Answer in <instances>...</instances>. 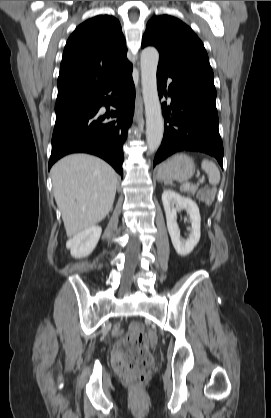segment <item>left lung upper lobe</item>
I'll list each match as a JSON object with an SVG mask.
<instances>
[{"mask_svg":"<svg viewBox=\"0 0 271 418\" xmlns=\"http://www.w3.org/2000/svg\"><path fill=\"white\" fill-rule=\"evenodd\" d=\"M149 45L159 51L158 68L215 89L203 43L185 23L168 15L152 17L142 38V48Z\"/></svg>","mask_w":271,"mask_h":418,"instance_id":"1","label":"left lung upper lobe"}]
</instances>
